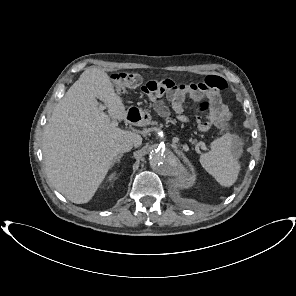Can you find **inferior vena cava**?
<instances>
[{
    "label": "inferior vena cava",
    "mask_w": 296,
    "mask_h": 296,
    "mask_svg": "<svg viewBox=\"0 0 296 296\" xmlns=\"http://www.w3.org/2000/svg\"><path fill=\"white\" fill-rule=\"evenodd\" d=\"M133 147V143L132 141L128 140V139H123L118 141L115 144V152L116 153H125V152H129Z\"/></svg>",
    "instance_id": "602c4592"
}]
</instances>
